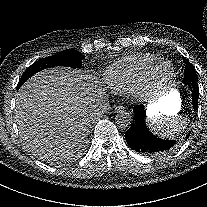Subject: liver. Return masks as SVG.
<instances>
[{
	"mask_svg": "<svg viewBox=\"0 0 207 207\" xmlns=\"http://www.w3.org/2000/svg\"><path fill=\"white\" fill-rule=\"evenodd\" d=\"M94 90L82 70L68 67L30 77L18 91L14 117L25 146L40 158L81 148L96 112Z\"/></svg>",
	"mask_w": 207,
	"mask_h": 207,
	"instance_id": "liver-1",
	"label": "liver"
}]
</instances>
